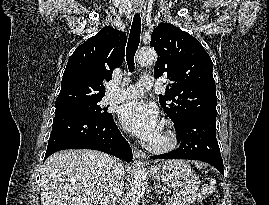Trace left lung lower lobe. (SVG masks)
Wrapping results in <instances>:
<instances>
[{
  "mask_svg": "<svg viewBox=\"0 0 269 205\" xmlns=\"http://www.w3.org/2000/svg\"><path fill=\"white\" fill-rule=\"evenodd\" d=\"M216 115L206 113L188 118L176 129L180 140L178 149L151 159H189L200 160L214 166L222 175L223 160L216 139Z\"/></svg>",
  "mask_w": 269,
  "mask_h": 205,
  "instance_id": "1",
  "label": "left lung lower lobe"
}]
</instances>
